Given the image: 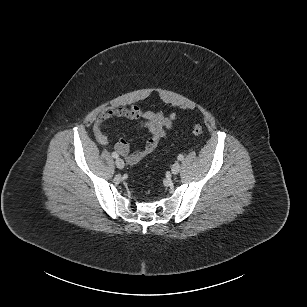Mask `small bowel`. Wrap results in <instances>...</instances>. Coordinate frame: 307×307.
Listing matches in <instances>:
<instances>
[{
  "label": "small bowel",
  "instance_id": "obj_1",
  "mask_svg": "<svg viewBox=\"0 0 307 307\" xmlns=\"http://www.w3.org/2000/svg\"><path fill=\"white\" fill-rule=\"evenodd\" d=\"M112 117H122L138 122L139 127H147L150 131V137L146 141L144 147L137 151H131L128 144L124 140H120L116 145V150L124 156L127 163L134 165L142 161L151 154L159 142L164 139L175 121L179 116L176 112L165 115L160 112L145 111L143 112L138 106L130 107L116 106L103 109L96 119L93 132L95 139L103 145L108 144V137L103 132V126Z\"/></svg>",
  "mask_w": 307,
  "mask_h": 307
}]
</instances>
